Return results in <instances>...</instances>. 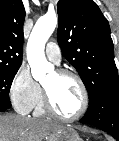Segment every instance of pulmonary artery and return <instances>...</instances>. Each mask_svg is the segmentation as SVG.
<instances>
[{
    "mask_svg": "<svg viewBox=\"0 0 119 141\" xmlns=\"http://www.w3.org/2000/svg\"><path fill=\"white\" fill-rule=\"evenodd\" d=\"M45 55L50 61L54 62L55 64H60L61 51L57 43L53 41L48 42L45 48Z\"/></svg>",
    "mask_w": 119,
    "mask_h": 141,
    "instance_id": "obj_1",
    "label": "pulmonary artery"
}]
</instances>
